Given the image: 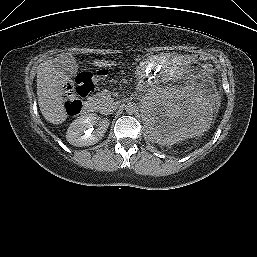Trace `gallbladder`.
<instances>
[{
	"instance_id": "1",
	"label": "gallbladder",
	"mask_w": 257,
	"mask_h": 257,
	"mask_svg": "<svg viewBox=\"0 0 257 257\" xmlns=\"http://www.w3.org/2000/svg\"><path fill=\"white\" fill-rule=\"evenodd\" d=\"M54 66L65 76L74 77L78 71L76 59L68 53L58 55L54 59Z\"/></svg>"
}]
</instances>
